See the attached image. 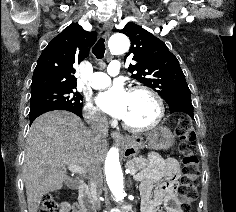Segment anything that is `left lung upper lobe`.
<instances>
[{"mask_svg":"<svg viewBox=\"0 0 236 212\" xmlns=\"http://www.w3.org/2000/svg\"><path fill=\"white\" fill-rule=\"evenodd\" d=\"M118 31L131 41L125 59L132 54L136 61L128 68L132 78L153 88L166 102L176 94L190 92L177 58L164 42L135 23H127Z\"/></svg>","mask_w":236,"mask_h":212,"instance_id":"5c2ea615","label":"left lung upper lobe"}]
</instances>
